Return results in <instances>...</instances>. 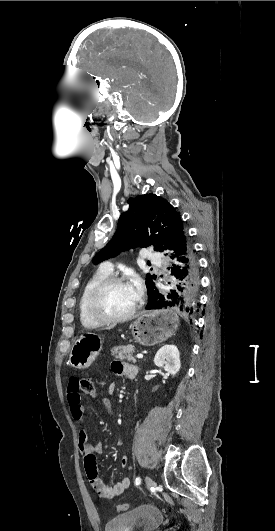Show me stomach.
Masks as SVG:
<instances>
[{
    "mask_svg": "<svg viewBox=\"0 0 275 531\" xmlns=\"http://www.w3.org/2000/svg\"><path fill=\"white\" fill-rule=\"evenodd\" d=\"M179 317L173 309L144 311L130 325L133 339L144 347H153L174 335ZM102 349V339L95 333H85L71 347L69 365L75 369H88Z\"/></svg>",
    "mask_w": 275,
    "mask_h": 531,
    "instance_id": "stomach-1",
    "label": "stomach"
}]
</instances>
